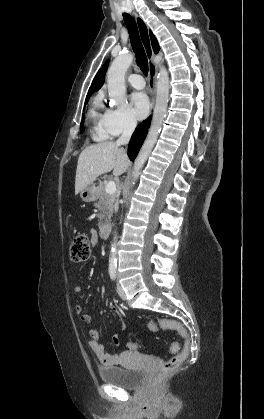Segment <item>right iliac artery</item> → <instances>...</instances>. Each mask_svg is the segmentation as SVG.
<instances>
[{
	"mask_svg": "<svg viewBox=\"0 0 264 419\" xmlns=\"http://www.w3.org/2000/svg\"><path fill=\"white\" fill-rule=\"evenodd\" d=\"M109 274L112 280L116 279V268L115 267H110L109 268Z\"/></svg>",
	"mask_w": 264,
	"mask_h": 419,
	"instance_id": "right-iliac-artery-1",
	"label": "right iliac artery"
}]
</instances>
